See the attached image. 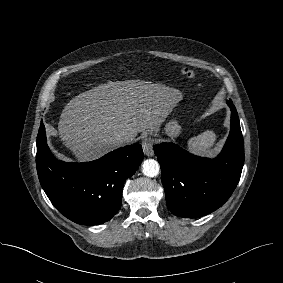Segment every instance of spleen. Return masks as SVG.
Wrapping results in <instances>:
<instances>
[{"label": "spleen", "mask_w": 283, "mask_h": 283, "mask_svg": "<svg viewBox=\"0 0 283 283\" xmlns=\"http://www.w3.org/2000/svg\"><path fill=\"white\" fill-rule=\"evenodd\" d=\"M216 134L212 130H207L198 136L192 137L188 140V149L196 154L212 155L214 152L210 147L216 141Z\"/></svg>", "instance_id": "spleen-1"}]
</instances>
